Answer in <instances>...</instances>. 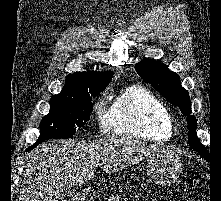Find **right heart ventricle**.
Instances as JSON below:
<instances>
[{
	"mask_svg": "<svg viewBox=\"0 0 221 201\" xmlns=\"http://www.w3.org/2000/svg\"><path fill=\"white\" fill-rule=\"evenodd\" d=\"M113 134L156 142L168 141L173 134L171 114L150 90L132 85L118 94L110 107Z\"/></svg>",
	"mask_w": 221,
	"mask_h": 201,
	"instance_id": "1",
	"label": "right heart ventricle"
}]
</instances>
